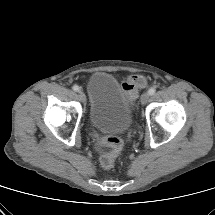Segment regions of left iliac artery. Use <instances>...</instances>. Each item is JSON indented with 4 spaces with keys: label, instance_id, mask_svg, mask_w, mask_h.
Returning a JSON list of instances; mask_svg holds the SVG:
<instances>
[{
    "label": "left iliac artery",
    "instance_id": "left-iliac-artery-1",
    "mask_svg": "<svg viewBox=\"0 0 215 215\" xmlns=\"http://www.w3.org/2000/svg\"><path fill=\"white\" fill-rule=\"evenodd\" d=\"M155 92H156L155 88H150L149 91H148L149 95H154Z\"/></svg>",
    "mask_w": 215,
    "mask_h": 215
}]
</instances>
